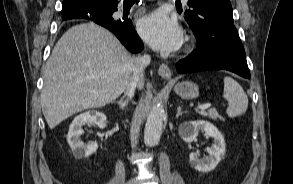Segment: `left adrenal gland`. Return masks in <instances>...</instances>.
Wrapping results in <instances>:
<instances>
[{"label": "left adrenal gland", "mask_w": 293, "mask_h": 184, "mask_svg": "<svg viewBox=\"0 0 293 184\" xmlns=\"http://www.w3.org/2000/svg\"><path fill=\"white\" fill-rule=\"evenodd\" d=\"M183 113H185V112L182 111V108H181V107H177L176 118H178V117H179L180 115H182Z\"/></svg>", "instance_id": "a2214340"}]
</instances>
